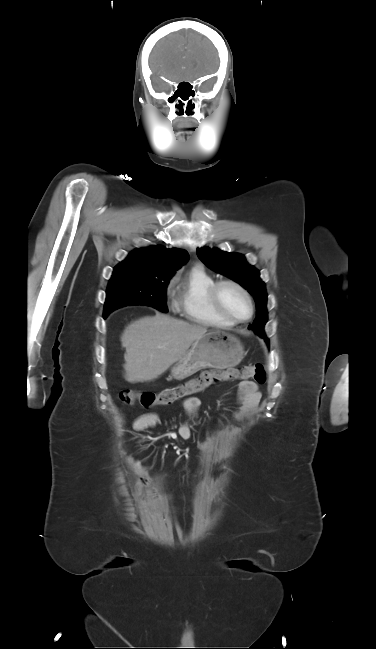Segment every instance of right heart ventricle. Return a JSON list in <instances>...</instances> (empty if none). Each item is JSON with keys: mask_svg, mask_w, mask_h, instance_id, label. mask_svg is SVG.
I'll return each mask as SVG.
<instances>
[{"mask_svg": "<svg viewBox=\"0 0 376 649\" xmlns=\"http://www.w3.org/2000/svg\"><path fill=\"white\" fill-rule=\"evenodd\" d=\"M216 279L202 266L196 265L174 279L175 309L195 323L230 328L234 323L224 318L215 307L210 291Z\"/></svg>", "mask_w": 376, "mask_h": 649, "instance_id": "1", "label": "right heart ventricle"}]
</instances>
